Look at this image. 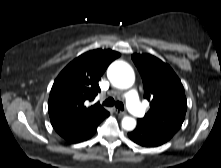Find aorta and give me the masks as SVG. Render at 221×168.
Masks as SVG:
<instances>
[{
	"instance_id": "obj_1",
	"label": "aorta",
	"mask_w": 221,
	"mask_h": 168,
	"mask_svg": "<svg viewBox=\"0 0 221 168\" xmlns=\"http://www.w3.org/2000/svg\"><path fill=\"white\" fill-rule=\"evenodd\" d=\"M110 82L117 88H130L135 81V74L132 67L121 60L113 62L107 71ZM122 128L126 131H132L136 127V120L132 117L125 116L122 119Z\"/></svg>"
}]
</instances>
